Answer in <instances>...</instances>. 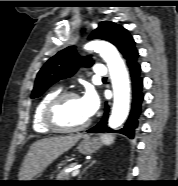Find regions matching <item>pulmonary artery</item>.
Masks as SVG:
<instances>
[{"instance_id":"pulmonary-artery-1","label":"pulmonary artery","mask_w":178,"mask_h":186,"mask_svg":"<svg viewBox=\"0 0 178 186\" xmlns=\"http://www.w3.org/2000/svg\"><path fill=\"white\" fill-rule=\"evenodd\" d=\"M93 72L95 76H105L107 74L106 67L103 64H96L93 67Z\"/></svg>"}]
</instances>
